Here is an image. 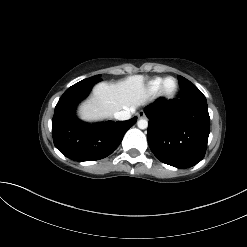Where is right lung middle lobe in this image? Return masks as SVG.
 <instances>
[{"label":"right lung middle lobe","instance_id":"dd1d6c3e","mask_svg":"<svg viewBox=\"0 0 247 247\" xmlns=\"http://www.w3.org/2000/svg\"><path fill=\"white\" fill-rule=\"evenodd\" d=\"M100 77L101 75H96L91 78L84 79L83 81H85L86 83H97L101 80Z\"/></svg>","mask_w":247,"mask_h":247}]
</instances>
